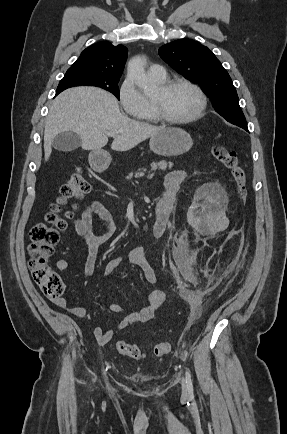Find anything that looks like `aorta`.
Returning <instances> with one entry per match:
<instances>
[{
	"label": "aorta",
	"mask_w": 287,
	"mask_h": 434,
	"mask_svg": "<svg viewBox=\"0 0 287 434\" xmlns=\"http://www.w3.org/2000/svg\"><path fill=\"white\" fill-rule=\"evenodd\" d=\"M127 75L144 92L153 90V85L145 71V60L142 57L136 56L129 61Z\"/></svg>",
	"instance_id": "762f6f07"
}]
</instances>
